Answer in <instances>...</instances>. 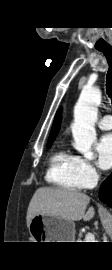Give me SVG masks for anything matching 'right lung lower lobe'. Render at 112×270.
Listing matches in <instances>:
<instances>
[{
    "instance_id": "1",
    "label": "right lung lower lobe",
    "mask_w": 112,
    "mask_h": 270,
    "mask_svg": "<svg viewBox=\"0 0 112 270\" xmlns=\"http://www.w3.org/2000/svg\"><path fill=\"white\" fill-rule=\"evenodd\" d=\"M99 198L112 207V174L103 182L99 191Z\"/></svg>"
}]
</instances>
